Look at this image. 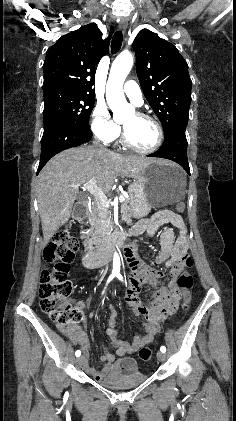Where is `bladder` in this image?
Returning a JSON list of instances; mask_svg holds the SVG:
<instances>
[{
    "label": "bladder",
    "instance_id": "obj_1",
    "mask_svg": "<svg viewBox=\"0 0 236 421\" xmlns=\"http://www.w3.org/2000/svg\"><path fill=\"white\" fill-rule=\"evenodd\" d=\"M146 380V375L141 374L137 361L133 358H120L106 370L101 378V384L119 390H127L139 386Z\"/></svg>",
    "mask_w": 236,
    "mask_h": 421
}]
</instances>
